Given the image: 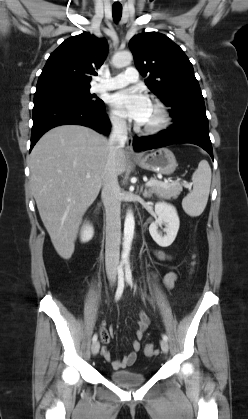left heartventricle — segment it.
Returning a JSON list of instances; mask_svg holds the SVG:
<instances>
[{
	"instance_id": "obj_1",
	"label": "left heart ventricle",
	"mask_w": 248,
	"mask_h": 419,
	"mask_svg": "<svg viewBox=\"0 0 248 419\" xmlns=\"http://www.w3.org/2000/svg\"><path fill=\"white\" fill-rule=\"evenodd\" d=\"M157 120H158V113L156 109L151 105L148 115L146 119L144 120V122L142 123V125H150V124L155 123Z\"/></svg>"
}]
</instances>
